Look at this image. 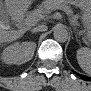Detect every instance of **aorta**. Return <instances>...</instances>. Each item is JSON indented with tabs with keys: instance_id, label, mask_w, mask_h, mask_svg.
Here are the masks:
<instances>
[{
	"instance_id": "obj_1",
	"label": "aorta",
	"mask_w": 91,
	"mask_h": 91,
	"mask_svg": "<svg viewBox=\"0 0 91 91\" xmlns=\"http://www.w3.org/2000/svg\"><path fill=\"white\" fill-rule=\"evenodd\" d=\"M54 38L58 42H66L69 37L67 29L63 25H56L53 32Z\"/></svg>"
}]
</instances>
